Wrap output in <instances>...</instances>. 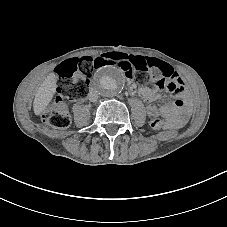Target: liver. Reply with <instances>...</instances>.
Wrapping results in <instances>:
<instances>
[{"mask_svg":"<svg viewBox=\"0 0 227 227\" xmlns=\"http://www.w3.org/2000/svg\"><path fill=\"white\" fill-rule=\"evenodd\" d=\"M55 91V75L50 74L41 84L36 92L33 109L35 114H41L52 99V93Z\"/></svg>","mask_w":227,"mask_h":227,"instance_id":"liver-1","label":"liver"}]
</instances>
